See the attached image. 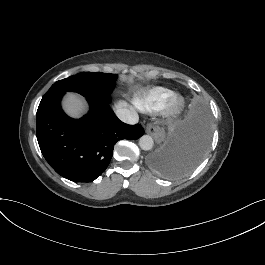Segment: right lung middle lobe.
Masks as SVG:
<instances>
[{"instance_id": "right-lung-middle-lobe-1", "label": "right lung middle lobe", "mask_w": 265, "mask_h": 265, "mask_svg": "<svg viewBox=\"0 0 265 265\" xmlns=\"http://www.w3.org/2000/svg\"><path fill=\"white\" fill-rule=\"evenodd\" d=\"M117 75L101 72H84L57 81L45 95L55 92L74 91L96 102L110 101Z\"/></svg>"}]
</instances>
